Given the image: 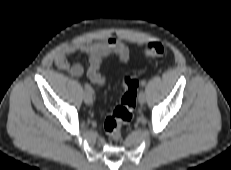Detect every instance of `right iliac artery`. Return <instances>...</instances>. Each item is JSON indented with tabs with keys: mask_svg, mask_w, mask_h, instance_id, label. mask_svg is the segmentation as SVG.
Listing matches in <instances>:
<instances>
[{
	"mask_svg": "<svg viewBox=\"0 0 231 170\" xmlns=\"http://www.w3.org/2000/svg\"><path fill=\"white\" fill-rule=\"evenodd\" d=\"M84 87H85V90L87 92H90V93L94 94V91H93L92 87L88 83H85Z\"/></svg>",
	"mask_w": 231,
	"mask_h": 170,
	"instance_id": "82829eb1",
	"label": "right iliac artery"
}]
</instances>
